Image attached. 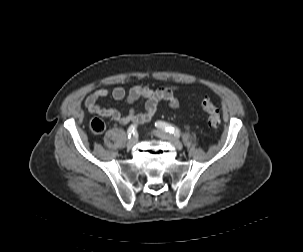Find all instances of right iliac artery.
I'll use <instances>...</instances> for the list:
<instances>
[{"label":"right iliac artery","mask_w":303,"mask_h":252,"mask_svg":"<svg viewBox=\"0 0 303 252\" xmlns=\"http://www.w3.org/2000/svg\"><path fill=\"white\" fill-rule=\"evenodd\" d=\"M136 127H137L136 124H132V125L128 128V130H127L128 139L131 137L132 134L135 133Z\"/></svg>","instance_id":"1"}]
</instances>
